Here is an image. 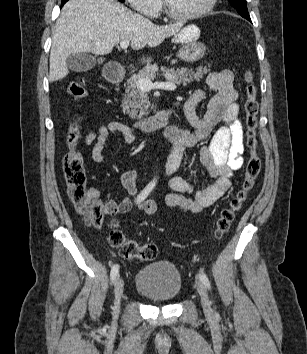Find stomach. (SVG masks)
Listing matches in <instances>:
<instances>
[{
	"label": "stomach",
	"instance_id": "1",
	"mask_svg": "<svg viewBox=\"0 0 307 354\" xmlns=\"http://www.w3.org/2000/svg\"><path fill=\"white\" fill-rule=\"evenodd\" d=\"M199 35V28L195 25H188L174 35L172 42L183 45L177 53L181 60L192 63L203 58L206 47L197 41Z\"/></svg>",
	"mask_w": 307,
	"mask_h": 354
}]
</instances>
